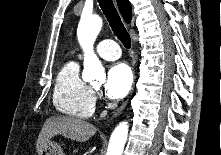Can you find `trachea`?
Instances as JSON below:
<instances>
[{
	"label": "trachea",
	"mask_w": 221,
	"mask_h": 155,
	"mask_svg": "<svg viewBox=\"0 0 221 155\" xmlns=\"http://www.w3.org/2000/svg\"><path fill=\"white\" fill-rule=\"evenodd\" d=\"M104 15L106 16L114 34L119 38L123 45L129 49L131 47L130 36L125 29L121 18L113 4L112 0H98Z\"/></svg>",
	"instance_id": "obj_1"
}]
</instances>
